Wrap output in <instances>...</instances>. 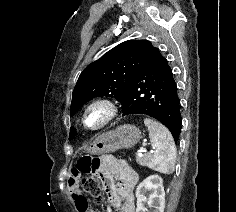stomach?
Listing matches in <instances>:
<instances>
[{"label": "stomach", "mask_w": 236, "mask_h": 212, "mask_svg": "<svg viewBox=\"0 0 236 212\" xmlns=\"http://www.w3.org/2000/svg\"><path fill=\"white\" fill-rule=\"evenodd\" d=\"M141 138V131L135 125L125 124L115 130L98 135L88 148V151L91 154L102 155L119 149H130Z\"/></svg>", "instance_id": "0dacf381"}]
</instances>
